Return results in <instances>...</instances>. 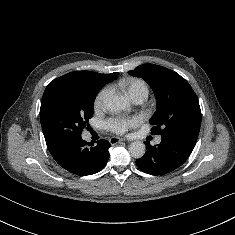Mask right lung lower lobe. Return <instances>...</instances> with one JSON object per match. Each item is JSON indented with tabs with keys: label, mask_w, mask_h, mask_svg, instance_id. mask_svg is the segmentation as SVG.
Masks as SVG:
<instances>
[{
	"label": "right lung lower lobe",
	"mask_w": 235,
	"mask_h": 235,
	"mask_svg": "<svg viewBox=\"0 0 235 235\" xmlns=\"http://www.w3.org/2000/svg\"><path fill=\"white\" fill-rule=\"evenodd\" d=\"M110 146L106 140H99L95 146H91L79 136L49 151L61 167L84 176L95 174L104 168L110 157Z\"/></svg>",
	"instance_id": "1"
}]
</instances>
